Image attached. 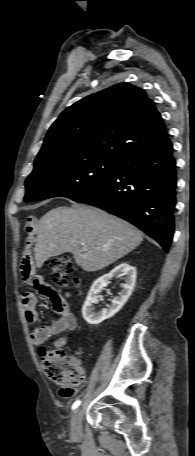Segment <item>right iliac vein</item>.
I'll use <instances>...</instances> for the list:
<instances>
[{"label": "right iliac vein", "instance_id": "63e3f726", "mask_svg": "<svg viewBox=\"0 0 195 456\" xmlns=\"http://www.w3.org/2000/svg\"><path fill=\"white\" fill-rule=\"evenodd\" d=\"M81 420H82L81 410H77L71 419V435H72V438L75 440H78L82 435Z\"/></svg>", "mask_w": 195, "mask_h": 456}]
</instances>
